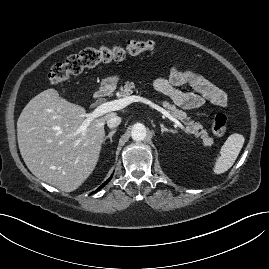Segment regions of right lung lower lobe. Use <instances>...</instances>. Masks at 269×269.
<instances>
[{
  "instance_id": "right-lung-lower-lobe-1",
  "label": "right lung lower lobe",
  "mask_w": 269,
  "mask_h": 269,
  "mask_svg": "<svg viewBox=\"0 0 269 269\" xmlns=\"http://www.w3.org/2000/svg\"><path fill=\"white\" fill-rule=\"evenodd\" d=\"M111 178H112V176L107 181H105L96 191L92 192L91 194L99 191L102 187H104L111 180Z\"/></svg>"
}]
</instances>
